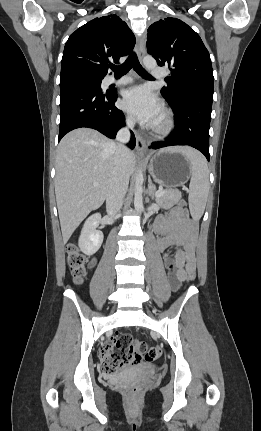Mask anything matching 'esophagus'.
Here are the masks:
<instances>
[{"label": "esophagus", "instance_id": "esophagus-1", "mask_svg": "<svg viewBox=\"0 0 261 431\" xmlns=\"http://www.w3.org/2000/svg\"><path fill=\"white\" fill-rule=\"evenodd\" d=\"M137 55L140 61L143 60L145 55V40L144 37L139 39L136 46ZM135 137H136V150L139 153H143L146 149V143L143 137L139 134L138 131H135Z\"/></svg>", "mask_w": 261, "mask_h": 431}]
</instances>
